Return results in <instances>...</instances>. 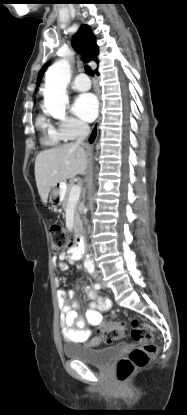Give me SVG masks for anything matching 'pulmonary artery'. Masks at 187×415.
I'll use <instances>...</instances> for the list:
<instances>
[{
	"mask_svg": "<svg viewBox=\"0 0 187 415\" xmlns=\"http://www.w3.org/2000/svg\"><path fill=\"white\" fill-rule=\"evenodd\" d=\"M71 87L76 91H86L90 89L91 82L85 74H79L72 81Z\"/></svg>",
	"mask_w": 187,
	"mask_h": 415,
	"instance_id": "pulmonary-artery-1",
	"label": "pulmonary artery"
}]
</instances>
